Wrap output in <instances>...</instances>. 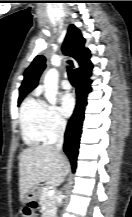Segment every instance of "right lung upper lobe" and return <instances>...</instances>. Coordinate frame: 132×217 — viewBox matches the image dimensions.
<instances>
[{
  "mask_svg": "<svg viewBox=\"0 0 132 217\" xmlns=\"http://www.w3.org/2000/svg\"><path fill=\"white\" fill-rule=\"evenodd\" d=\"M84 44L85 39L81 36L80 31L74 25H70L62 51L65 55L73 57L78 62L79 68L76 69L78 79L89 78L93 67L89 60L90 52L84 47ZM44 69L45 58L42 55H38L24 73V80L19 88V99H23L27 93L37 86L38 79Z\"/></svg>",
  "mask_w": 132,
  "mask_h": 217,
  "instance_id": "right-lung-upper-lobe-1",
  "label": "right lung upper lobe"
}]
</instances>
